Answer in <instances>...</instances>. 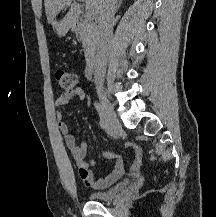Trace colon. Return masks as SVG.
Wrapping results in <instances>:
<instances>
[{"mask_svg": "<svg viewBox=\"0 0 216 217\" xmlns=\"http://www.w3.org/2000/svg\"><path fill=\"white\" fill-rule=\"evenodd\" d=\"M55 77L57 83L64 90H72L76 87L77 74L72 71L59 69L56 71Z\"/></svg>", "mask_w": 216, "mask_h": 217, "instance_id": "1", "label": "colon"}]
</instances>
